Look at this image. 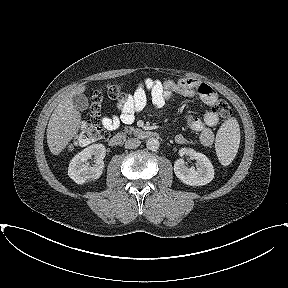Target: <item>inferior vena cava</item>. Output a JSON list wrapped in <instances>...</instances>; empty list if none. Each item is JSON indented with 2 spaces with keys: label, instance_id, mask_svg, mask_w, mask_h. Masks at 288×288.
<instances>
[{
  "label": "inferior vena cava",
  "instance_id": "602c4592",
  "mask_svg": "<svg viewBox=\"0 0 288 288\" xmlns=\"http://www.w3.org/2000/svg\"><path fill=\"white\" fill-rule=\"evenodd\" d=\"M141 144V141L137 138H130L125 142V148L126 149H134L139 147Z\"/></svg>",
  "mask_w": 288,
  "mask_h": 288
}]
</instances>
